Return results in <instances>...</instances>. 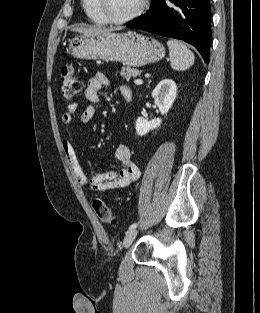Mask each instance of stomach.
<instances>
[{
  "label": "stomach",
  "instance_id": "obj_1",
  "mask_svg": "<svg viewBox=\"0 0 260 313\" xmlns=\"http://www.w3.org/2000/svg\"><path fill=\"white\" fill-rule=\"evenodd\" d=\"M68 53L74 58L117 61L129 67H141L161 60L164 46L151 37L136 33H93L74 37Z\"/></svg>",
  "mask_w": 260,
  "mask_h": 313
}]
</instances>
